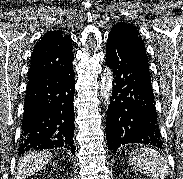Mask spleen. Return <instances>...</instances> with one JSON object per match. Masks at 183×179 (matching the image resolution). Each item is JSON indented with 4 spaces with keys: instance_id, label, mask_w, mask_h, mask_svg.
<instances>
[{
    "instance_id": "spleen-1",
    "label": "spleen",
    "mask_w": 183,
    "mask_h": 179,
    "mask_svg": "<svg viewBox=\"0 0 183 179\" xmlns=\"http://www.w3.org/2000/svg\"><path fill=\"white\" fill-rule=\"evenodd\" d=\"M129 165L153 179H165L169 173L167 160L161 153L151 148H140L132 152Z\"/></svg>"
}]
</instances>
